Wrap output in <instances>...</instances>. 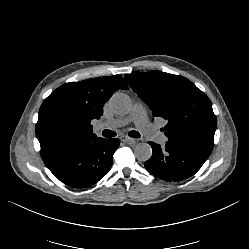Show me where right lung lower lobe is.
<instances>
[{
    "label": "right lung lower lobe",
    "instance_id": "obj_1",
    "mask_svg": "<svg viewBox=\"0 0 249 249\" xmlns=\"http://www.w3.org/2000/svg\"><path fill=\"white\" fill-rule=\"evenodd\" d=\"M119 144L116 138H99L93 142L77 144L45 164L64 184L86 188L108 173Z\"/></svg>",
    "mask_w": 249,
    "mask_h": 249
}]
</instances>
